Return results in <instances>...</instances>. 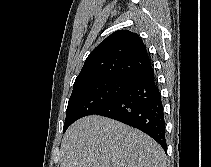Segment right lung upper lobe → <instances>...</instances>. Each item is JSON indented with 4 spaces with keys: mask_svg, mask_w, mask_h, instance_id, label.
Wrapping results in <instances>:
<instances>
[{
    "mask_svg": "<svg viewBox=\"0 0 211 167\" xmlns=\"http://www.w3.org/2000/svg\"><path fill=\"white\" fill-rule=\"evenodd\" d=\"M151 66L141 38L118 30L103 40L86 58L74 86L104 77H130Z\"/></svg>",
    "mask_w": 211,
    "mask_h": 167,
    "instance_id": "1",
    "label": "right lung upper lobe"
}]
</instances>
